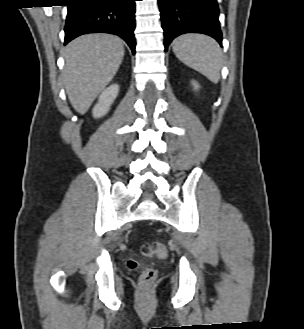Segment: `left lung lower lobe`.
<instances>
[{
    "instance_id": "obj_1",
    "label": "left lung lower lobe",
    "mask_w": 304,
    "mask_h": 329,
    "mask_svg": "<svg viewBox=\"0 0 304 329\" xmlns=\"http://www.w3.org/2000/svg\"><path fill=\"white\" fill-rule=\"evenodd\" d=\"M165 50L184 33H203L222 46L217 0H158Z\"/></svg>"
}]
</instances>
